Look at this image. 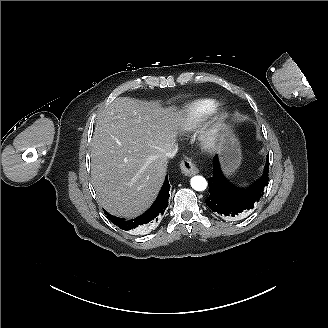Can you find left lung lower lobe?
<instances>
[{"instance_id": "left-lung-lower-lobe-1", "label": "left lung lower lobe", "mask_w": 328, "mask_h": 328, "mask_svg": "<svg viewBox=\"0 0 328 328\" xmlns=\"http://www.w3.org/2000/svg\"><path fill=\"white\" fill-rule=\"evenodd\" d=\"M269 156L263 175L248 187L233 185L224 176L218 156L214 157L213 176L208 180L210 195L207 206L224 218H234L248 214L261 198L268 185Z\"/></svg>"}]
</instances>
